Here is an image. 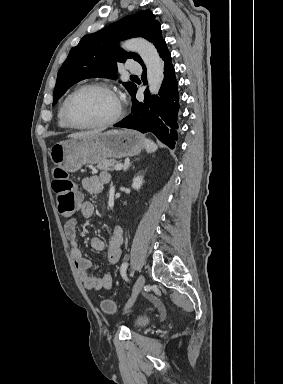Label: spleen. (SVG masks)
Here are the masks:
<instances>
[{
  "instance_id": "3e777b00",
  "label": "spleen",
  "mask_w": 283,
  "mask_h": 384,
  "mask_svg": "<svg viewBox=\"0 0 283 384\" xmlns=\"http://www.w3.org/2000/svg\"><path fill=\"white\" fill-rule=\"evenodd\" d=\"M158 146L152 142V140H145V150L148 154H152V152H156Z\"/></svg>"
}]
</instances>
